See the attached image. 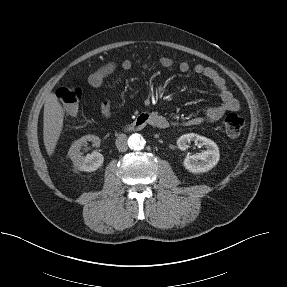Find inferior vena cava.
Masks as SVG:
<instances>
[{
	"mask_svg": "<svg viewBox=\"0 0 287 287\" xmlns=\"http://www.w3.org/2000/svg\"><path fill=\"white\" fill-rule=\"evenodd\" d=\"M115 144L119 151L121 152L127 151L128 149L127 136L125 134H120L117 137Z\"/></svg>",
	"mask_w": 287,
	"mask_h": 287,
	"instance_id": "1",
	"label": "inferior vena cava"
}]
</instances>
